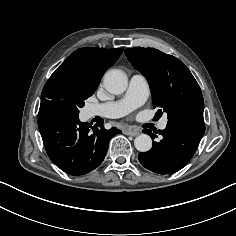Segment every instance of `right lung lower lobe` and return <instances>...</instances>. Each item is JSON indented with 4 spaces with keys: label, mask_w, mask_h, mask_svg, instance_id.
Returning <instances> with one entry per match:
<instances>
[{
    "label": "right lung lower lobe",
    "mask_w": 236,
    "mask_h": 236,
    "mask_svg": "<svg viewBox=\"0 0 236 236\" xmlns=\"http://www.w3.org/2000/svg\"><path fill=\"white\" fill-rule=\"evenodd\" d=\"M38 127L49 158L65 173L79 176L98 167L110 139L121 133L81 123L78 114L56 101L41 102Z\"/></svg>",
    "instance_id": "98d812e1"
}]
</instances>
